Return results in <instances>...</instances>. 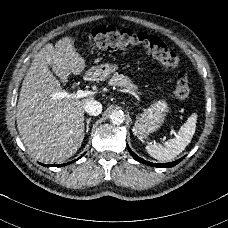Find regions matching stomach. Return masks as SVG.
Wrapping results in <instances>:
<instances>
[{
  "mask_svg": "<svg viewBox=\"0 0 228 228\" xmlns=\"http://www.w3.org/2000/svg\"><path fill=\"white\" fill-rule=\"evenodd\" d=\"M118 69L116 64H101L91 67L86 71V77L90 80H107L111 74ZM169 107L165 100L154 102L142 114L137 115L134 125V133L140 137H147L150 133L157 131L163 124Z\"/></svg>",
  "mask_w": 228,
  "mask_h": 228,
  "instance_id": "1",
  "label": "stomach"
}]
</instances>
